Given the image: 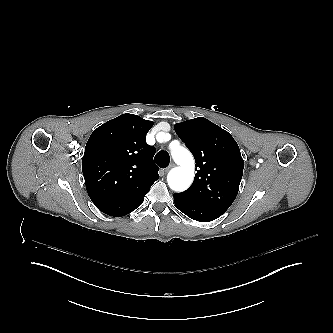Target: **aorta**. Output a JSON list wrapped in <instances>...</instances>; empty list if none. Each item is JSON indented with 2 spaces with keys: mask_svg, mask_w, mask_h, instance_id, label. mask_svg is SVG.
I'll use <instances>...</instances> for the list:
<instances>
[{
  "mask_svg": "<svg viewBox=\"0 0 333 333\" xmlns=\"http://www.w3.org/2000/svg\"><path fill=\"white\" fill-rule=\"evenodd\" d=\"M173 159L180 162V166L168 174V184L175 191H184L192 183L194 177V160L188 150L176 148L172 152Z\"/></svg>",
  "mask_w": 333,
  "mask_h": 333,
  "instance_id": "obj_1",
  "label": "aorta"
}]
</instances>
